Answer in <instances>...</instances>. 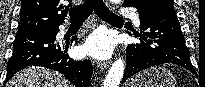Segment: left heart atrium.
<instances>
[{
    "label": "left heart atrium",
    "mask_w": 205,
    "mask_h": 87,
    "mask_svg": "<svg viewBox=\"0 0 205 87\" xmlns=\"http://www.w3.org/2000/svg\"><path fill=\"white\" fill-rule=\"evenodd\" d=\"M112 48L110 37L102 32H96L88 38L82 47V53L97 59H104L111 54Z\"/></svg>",
    "instance_id": "obj_1"
}]
</instances>
